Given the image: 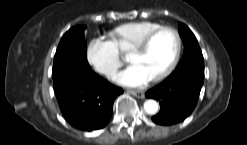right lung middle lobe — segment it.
<instances>
[{
  "instance_id": "right-lung-middle-lobe-1",
  "label": "right lung middle lobe",
  "mask_w": 247,
  "mask_h": 145,
  "mask_svg": "<svg viewBox=\"0 0 247 145\" xmlns=\"http://www.w3.org/2000/svg\"><path fill=\"white\" fill-rule=\"evenodd\" d=\"M84 28L83 26H76L63 35L54 56L52 73L71 63L88 64Z\"/></svg>"
}]
</instances>
